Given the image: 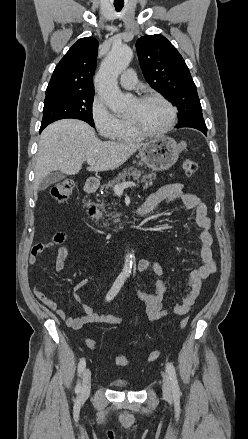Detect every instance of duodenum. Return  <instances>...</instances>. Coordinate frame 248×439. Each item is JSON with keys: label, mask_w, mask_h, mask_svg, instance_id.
<instances>
[{"label": "duodenum", "mask_w": 248, "mask_h": 439, "mask_svg": "<svg viewBox=\"0 0 248 439\" xmlns=\"http://www.w3.org/2000/svg\"><path fill=\"white\" fill-rule=\"evenodd\" d=\"M97 188H98V184L95 180L88 179L86 181V184H85V192L86 193H88V194L94 193L97 190ZM89 211L91 214L95 213L94 208L90 209ZM136 213L142 214V212L139 209L137 210ZM126 225H127L126 222L118 223L111 228V232H113V233L121 232L122 230H124L126 228Z\"/></svg>", "instance_id": "obj_1"}]
</instances>
